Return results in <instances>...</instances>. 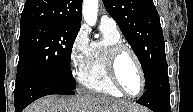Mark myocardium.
<instances>
[{
    "label": "myocardium",
    "instance_id": "f54148a6",
    "mask_svg": "<svg viewBox=\"0 0 193 112\" xmlns=\"http://www.w3.org/2000/svg\"><path fill=\"white\" fill-rule=\"evenodd\" d=\"M124 53H129L133 57L139 71V75L141 79V88H140V91L135 95L130 94L124 88L118 76L117 63L120 56ZM106 70H107L108 77L111 83L113 84V86L123 95L135 98L142 95V93L144 92L145 86H146V79H145L143 66L141 64V61L137 53L129 45L122 42V43L114 44L111 47H109L106 55Z\"/></svg>",
    "mask_w": 193,
    "mask_h": 112
}]
</instances>
